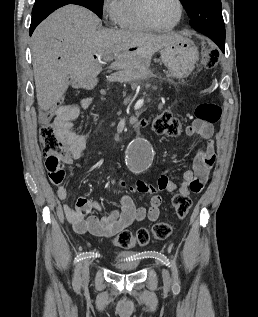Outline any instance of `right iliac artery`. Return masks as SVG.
<instances>
[{"label": "right iliac artery", "mask_w": 258, "mask_h": 317, "mask_svg": "<svg viewBox=\"0 0 258 317\" xmlns=\"http://www.w3.org/2000/svg\"><path fill=\"white\" fill-rule=\"evenodd\" d=\"M81 263L77 265L76 274L73 280V289L76 293L80 292L81 289V279H80Z\"/></svg>", "instance_id": "1"}]
</instances>
